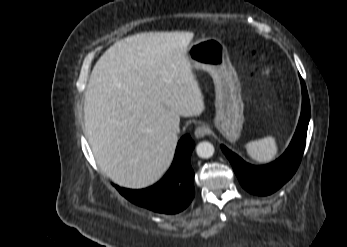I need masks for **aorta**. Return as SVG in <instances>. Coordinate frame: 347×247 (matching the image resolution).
Returning <instances> with one entry per match:
<instances>
[{
  "label": "aorta",
  "instance_id": "aorta-1",
  "mask_svg": "<svg viewBox=\"0 0 347 247\" xmlns=\"http://www.w3.org/2000/svg\"><path fill=\"white\" fill-rule=\"evenodd\" d=\"M214 146L208 141L200 142L196 147V153L200 158L208 159L214 154Z\"/></svg>",
  "mask_w": 347,
  "mask_h": 247
}]
</instances>
